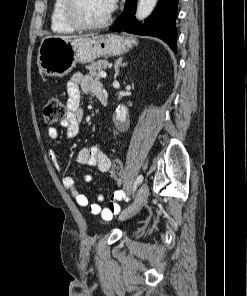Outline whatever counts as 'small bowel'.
Instances as JSON below:
<instances>
[{"label": "small bowel", "mask_w": 247, "mask_h": 296, "mask_svg": "<svg viewBox=\"0 0 247 296\" xmlns=\"http://www.w3.org/2000/svg\"><path fill=\"white\" fill-rule=\"evenodd\" d=\"M101 88L102 86L100 82L90 76L83 75L81 73H75L72 75L67 84L68 113L65 119L61 122L62 127L65 128L66 138L72 139L77 135L80 124L83 120V111L80 108L81 92L93 93L96 95L97 91ZM48 135L53 141H57L59 138L58 130L55 127H50L48 129ZM49 156L55 167L59 171H62L57 149L51 148ZM75 161L77 164L95 167L101 172H107L111 167L110 158L97 146L82 148L78 152ZM93 179L94 178L91 174L83 176V181L85 183H91ZM62 182L64 187L68 190L78 205L82 207H88L89 211L93 215H100L106 220L111 219L113 215H116L120 212L121 208L119 202L129 200L128 196L122 189H116L113 192L108 205L103 207L102 203L104 202V196L102 194L98 195L97 202L90 203L89 199L79 191L72 176L64 174L62 177Z\"/></svg>", "instance_id": "1"}]
</instances>
